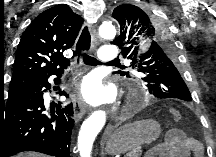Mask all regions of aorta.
<instances>
[{
  "instance_id": "aorta-1",
  "label": "aorta",
  "mask_w": 216,
  "mask_h": 157,
  "mask_svg": "<svg viewBox=\"0 0 216 157\" xmlns=\"http://www.w3.org/2000/svg\"><path fill=\"white\" fill-rule=\"evenodd\" d=\"M99 34L104 39H113L116 29L111 22H104L99 27ZM106 122L105 111L93 112L82 124L78 136V150L81 157H91L93 142Z\"/></svg>"
}]
</instances>
